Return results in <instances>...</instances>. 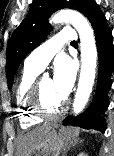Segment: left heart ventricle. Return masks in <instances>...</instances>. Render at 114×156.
Instances as JSON below:
<instances>
[{"label":"left heart ventricle","instance_id":"1","mask_svg":"<svg viewBox=\"0 0 114 156\" xmlns=\"http://www.w3.org/2000/svg\"><path fill=\"white\" fill-rule=\"evenodd\" d=\"M41 88L45 106L49 110H56L64 99L56 93L52 79L49 77L42 78Z\"/></svg>","mask_w":114,"mask_h":156}]
</instances>
